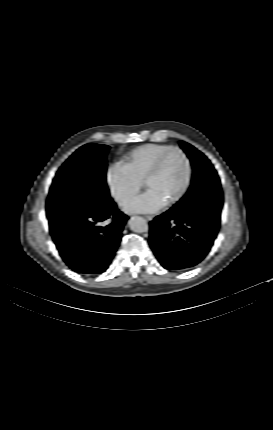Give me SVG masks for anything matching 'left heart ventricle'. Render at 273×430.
Instances as JSON below:
<instances>
[{"label": "left heart ventricle", "instance_id": "b2bd125f", "mask_svg": "<svg viewBox=\"0 0 273 430\" xmlns=\"http://www.w3.org/2000/svg\"><path fill=\"white\" fill-rule=\"evenodd\" d=\"M187 176L186 164L176 152L168 155L161 173L146 185L147 190L154 191L165 204L183 187Z\"/></svg>", "mask_w": 273, "mask_h": 430}]
</instances>
